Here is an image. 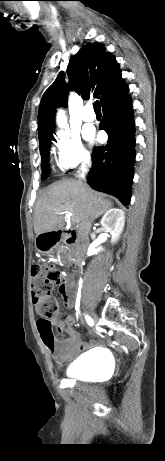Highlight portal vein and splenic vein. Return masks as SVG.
Returning <instances> with one entry per match:
<instances>
[{"mask_svg": "<svg viewBox=\"0 0 165 461\" xmlns=\"http://www.w3.org/2000/svg\"><path fill=\"white\" fill-rule=\"evenodd\" d=\"M67 216H72L71 213H68V212H65ZM73 221L75 222V220L73 219Z\"/></svg>", "mask_w": 165, "mask_h": 461, "instance_id": "obj_1", "label": "portal vein and splenic vein"}]
</instances>
